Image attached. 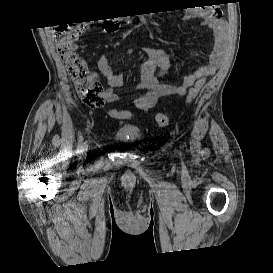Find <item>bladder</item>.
<instances>
[{"label":"bladder","mask_w":273,"mask_h":273,"mask_svg":"<svg viewBox=\"0 0 273 273\" xmlns=\"http://www.w3.org/2000/svg\"><path fill=\"white\" fill-rule=\"evenodd\" d=\"M115 138L123 143L135 144L142 138V134L138 127L122 124L116 130Z\"/></svg>","instance_id":"31cf9c89"}]
</instances>
